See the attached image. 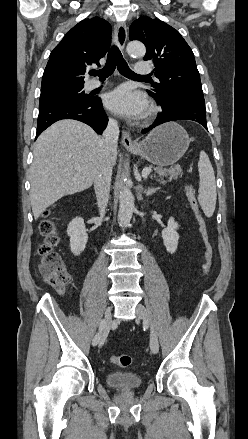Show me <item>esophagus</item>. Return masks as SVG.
<instances>
[{"label":"esophagus","mask_w":248,"mask_h":439,"mask_svg":"<svg viewBox=\"0 0 248 439\" xmlns=\"http://www.w3.org/2000/svg\"><path fill=\"white\" fill-rule=\"evenodd\" d=\"M127 40V27L124 22H118L114 28V41L116 46L123 52ZM122 145L126 149H134L137 144L134 142L128 131L122 133Z\"/></svg>","instance_id":"esophagus-1"}]
</instances>
